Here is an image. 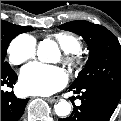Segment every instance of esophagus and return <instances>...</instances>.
Listing matches in <instances>:
<instances>
[{"mask_svg": "<svg viewBox=\"0 0 121 121\" xmlns=\"http://www.w3.org/2000/svg\"><path fill=\"white\" fill-rule=\"evenodd\" d=\"M58 99H59L58 96H53V97L47 98L46 100H47L48 102H50V103H53V102L57 101Z\"/></svg>", "mask_w": 121, "mask_h": 121, "instance_id": "34e87169", "label": "esophagus"}]
</instances>
